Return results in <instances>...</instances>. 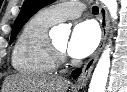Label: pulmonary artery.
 Returning a JSON list of instances; mask_svg holds the SVG:
<instances>
[{
  "label": "pulmonary artery",
  "instance_id": "1",
  "mask_svg": "<svg viewBox=\"0 0 127 92\" xmlns=\"http://www.w3.org/2000/svg\"><path fill=\"white\" fill-rule=\"evenodd\" d=\"M85 6L78 1H65L52 5L46 9V12L56 22H61L67 19L79 17Z\"/></svg>",
  "mask_w": 127,
  "mask_h": 92
}]
</instances>
